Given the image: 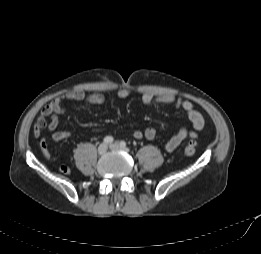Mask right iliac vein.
Here are the masks:
<instances>
[{
  "instance_id": "right-iliac-vein-1",
  "label": "right iliac vein",
  "mask_w": 261,
  "mask_h": 254,
  "mask_svg": "<svg viewBox=\"0 0 261 254\" xmlns=\"http://www.w3.org/2000/svg\"><path fill=\"white\" fill-rule=\"evenodd\" d=\"M107 152V145L106 144H101V145H99V147H98V154L99 155H103V154H105Z\"/></svg>"
}]
</instances>
